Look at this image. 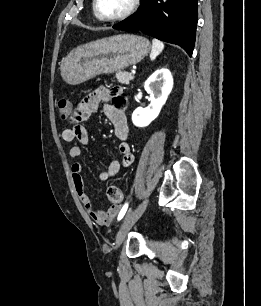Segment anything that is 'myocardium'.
Wrapping results in <instances>:
<instances>
[{
	"instance_id": "myocardium-1",
	"label": "myocardium",
	"mask_w": 261,
	"mask_h": 306,
	"mask_svg": "<svg viewBox=\"0 0 261 306\" xmlns=\"http://www.w3.org/2000/svg\"><path fill=\"white\" fill-rule=\"evenodd\" d=\"M139 5H140V0H132L130 6L126 9V11H124L123 13L117 16L107 17V16L102 15L99 12L98 0H93V11H94L95 16L101 21L117 22V21L124 20L128 18L129 16H131L138 9Z\"/></svg>"
}]
</instances>
